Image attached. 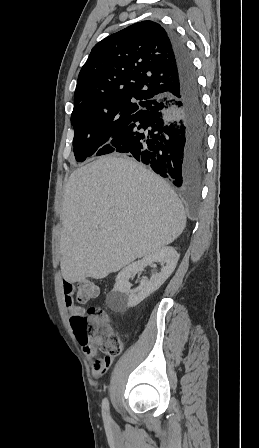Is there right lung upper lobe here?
I'll return each instance as SVG.
<instances>
[{"mask_svg": "<svg viewBox=\"0 0 259 448\" xmlns=\"http://www.w3.org/2000/svg\"><path fill=\"white\" fill-rule=\"evenodd\" d=\"M178 85L168 33L156 22H138L93 47L78 76L72 115L145 106Z\"/></svg>", "mask_w": 259, "mask_h": 448, "instance_id": "right-lung-upper-lobe-1", "label": "right lung upper lobe"}]
</instances>
